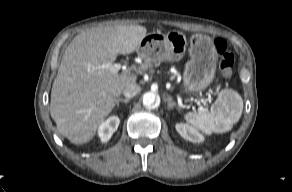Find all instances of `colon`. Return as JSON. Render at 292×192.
<instances>
[{"instance_id": "5ec220e1", "label": "colon", "mask_w": 292, "mask_h": 192, "mask_svg": "<svg viewBox=\"0 0 292 192\" xmlns=\"http://www.w3.org/2000/svg\"><path fill=\"white\" fill-rule=\"evenodd\" d=\"M214 48L217 55L218 67L225 78H229L232 74L234 65V54L228 48L226 42L221 39L214 41Z\"/></svg>"}]
</instances>
